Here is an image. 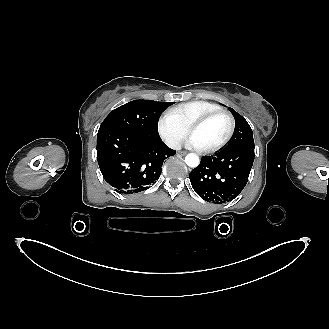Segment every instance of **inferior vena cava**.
Instances as JSON below:
<instances>
[{"label": "inferior vena cava", "instance_id": "602c4592", "mask_svg": "<svg viewBox=\"0 0 329 329\" xmlns=\"http://www.w3.org/2000/svg\"><path fill=\"white\" fill-rule=\"evenodd\" d=\"M168 146L172 149L179 150L181 149V144L178 141H170Z\"/></svg>", "mask_w": 329, "mask_h": 329}]
</instances>
